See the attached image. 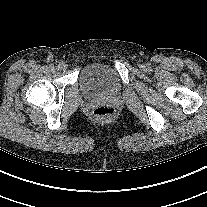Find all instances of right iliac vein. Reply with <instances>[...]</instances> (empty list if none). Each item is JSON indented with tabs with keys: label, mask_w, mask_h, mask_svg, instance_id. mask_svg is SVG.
Listing matches in <instances>:
<instances>
[{
	"label": "right iliac vein",
	"mask_w": 207,
	"mask_h": 207,
	"mask_svg": "<svg viewBox=\"0 0 207 207\" xmlns=\"http://www.w3.org/2000/svg\"><path fill=\"white\" fill-rule=\"evenodd\" d=\"M61 70H66L67 69V64L66 63H62L59 67Z\"/></svg>",
	"instance_id": "right-iliac-vein-1"
}]
</instances>
